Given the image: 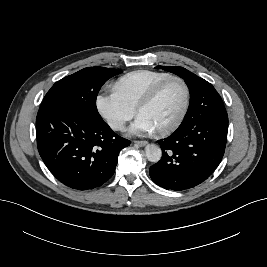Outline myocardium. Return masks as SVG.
I'll return each instance as SVG.
<instances>
[{
    "instance_id": "myocardium-1",
    "label": "myocardium",
    "mask_w": 267,
    "mask_h": 267,
    "mask_svg": "<svg viewBox=\"0 0 267 267\" xmlns=\"http://www.w3.org/2000/svg\"><path fill=\"white\" fill-rule=\"evenodd\" d=\"M170 81H178L183 86L184 103H183V107H182V110H181L179 116L172 124L155 130L156 134L161 135V136L174 132L182 124V122L184 121V119L187 115L189 105H190V88H189L187 82L180 76L170 75L169 77L156 83L149 90V92L142 98V100L139 102V104L136 107V112L139 114L143 108L150 105L157 98V96L160 93V91L162 90V88Z\"/></svg>"
}]
</instances>
